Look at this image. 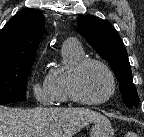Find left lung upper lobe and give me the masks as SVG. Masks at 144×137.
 <instances>
[{
	"label": "left lung upper lobe",
	"mask_w": 144,
	"mask_h": 137,
	"mask_svg": "<svg viewBox=\"0 0 144 137\" xmlns=\"http://www.w3.org/2000/svg\"><path fill=\"white\" fill-rule=\"evenodd\" d=\"M77 29L96 52L110 62L118 81L123 100L128 107L138 104V94L132 80L127 51L115 28L92 15L79 16Z\"/></svg>",
	"instance_id": "5c2ea615"
}]
</instances>
